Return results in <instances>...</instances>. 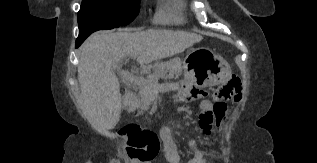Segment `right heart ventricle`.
Returning <instances> with one entry per match:
<instances>
[{
	"label": "right heart ventricle",
	"mask_w": 317,
	"mask_h": 163,
	"mask_svg": "<svg viewBox=\"0 0 317 163\" xmlns=\"http://www.w3.org/2000/svg\"><path fill=\"white\" fill-rule=\"evenodd\" d=\"M184 0H159L154 21L157 24H179L184 21Z\"/></svg>",
	"instance_id": "e07e8e85"
}]
</instances>
